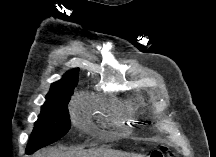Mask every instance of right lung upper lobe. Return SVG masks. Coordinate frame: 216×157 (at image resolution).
<instances>
[{
    "label": "right lung upper lobe",
    "instance_id": "cb5924a9",
    "mask_svg": "<svg viewBox=\"0 0 216 157\" xmlns=\"http://www.w3.org/2000/svg\"><path fill=\"white\" fill-rule=\"evenodd\" d=\"M79 68L69 70L63 77L57 82L51 84L49 93L46 95V100L59 95L60 93L73 91L78 82Z\"/></svg>",
    "mask_w": 216,
    "mask_h": 157
}]
</instances>
